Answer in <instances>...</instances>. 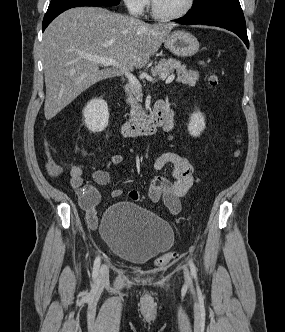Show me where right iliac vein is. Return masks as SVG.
<instances>
[{"instance_id":"1","label":"right iliac vein","mask_w":285,"mask_h":332,"mask_svg":"<svg viewBox=\"0 0 285 332\" xmlns=\"http://www.w3.org/2000/svg\"><path fill=\"white\" fill-rule=\"evenodd\" d=\"M109 279V269L107 265L103 264L99 270L97 284H105Z\"/></svg>"}]
</instances>
